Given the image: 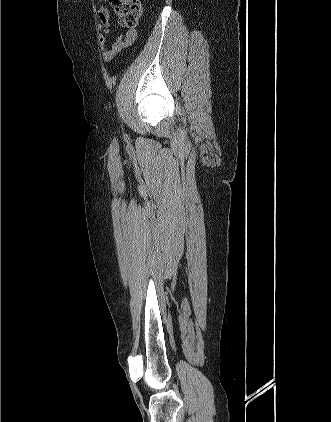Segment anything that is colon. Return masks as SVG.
<instances>
[{"label":"colon","mask_w":331,"mask_h":422,"mask_svg":"<svg viewBox=\"0 0 331 422\" xmlns=\"http://www.w3.org/2000/svg\"><path fill=\"white\" fill-rule=\"evenodd\" d=\"M108 2L125 27L136 26L142 15L141 0H108Z\"/></svg>","instance_id":"5ec220e1"}]
</instances>
